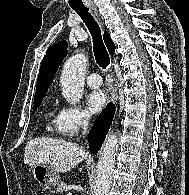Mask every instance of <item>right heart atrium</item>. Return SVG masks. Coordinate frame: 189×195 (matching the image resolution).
Instances as JSON below:
<instances>
[{
    "instance_id": "1",
    "label": "right heart atrium",
    "mask_w": 189,
    "mask_h": 195,
    "mask_svg": "<svg viewBox=\"0 0 189 195\" xmlns=\"http://www.w3.org/2000/svg\"><path fill=\"white\" fill-rule=\"evenodd\" d=\"M90 115L80 107L66 106L59 111L58 131L64 135H75L87 126Z\"/></svg>"
}]
</instances>
